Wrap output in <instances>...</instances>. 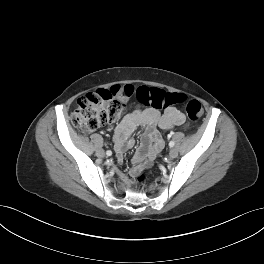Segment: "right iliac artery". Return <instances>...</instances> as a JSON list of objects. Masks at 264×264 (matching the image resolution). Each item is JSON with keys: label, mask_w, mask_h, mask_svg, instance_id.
I'll use <instances>...</instances> for the list:
<instances>
[{"label": "right iliac artery", "mask_w": 264, "mask_h": 264, "mask_svg": "<svg viewBox=\"0 0 264 264\" xmlns=\"http://www.w3.org/2000/svg\"><path fill=\"white\" fill-rule=\"evenodd\" d=\"M106 154H107L108 156H111V155H112V151L108 150V151L106 152Z\"/></svg>", "instance_id": "82829eb1"}]
</instances>
